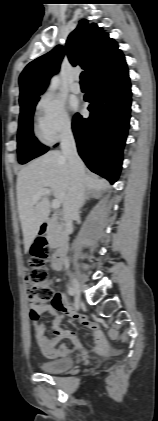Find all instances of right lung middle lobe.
Returning a JSON list of instances; mask_svg holds the SVG:
<instances>
[{"label": "right lung middle lobe", "mask_w": 158, "mask_h": 421, "mask_svg": "<svg viewBox=\"0 0 158 421\" xmlns=\"http://www.w3.org/2000/svg\"><path fill=\"white\" fill-rule=\"evenodd\" d=\"M39 98L20 104V117L18 128V161L25 164L28 161L44 154L48 148L39 143L32 130V118L35 105Z\"/></svg>", "instance_id": "right-lung-middle-lobe-1"}]
</instances>
